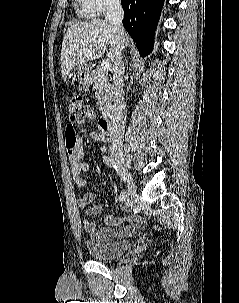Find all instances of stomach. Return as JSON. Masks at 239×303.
Wrapping results in <instances>:
<instances>
[{
    "label": "stomach",
    "instance_id": "0dacf381",
    "mask_svg": "<svg viewBox=\"0 0 239 303\" xmlns=\"http://www.w3.org/2000/svg\"><path fill=\"white\" fill-rule=\"evenodd\" d=\"M76 75L79 83L83 86H88L93 82L92 68L87 64L77 66Z\"/></svg>",
    "mask_w": 239,
    "mask_h": 303
}]
</instances>
